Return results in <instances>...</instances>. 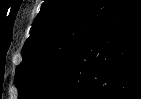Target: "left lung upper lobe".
<instances>
[{"label": "left lung upper lobe", "instance_id": "left-lung-upper-lobe-1", "mask_svg": "<svg viewBox=\"0 0 141 99\" xmlns=\"http://www.w3.org/2000/svg\"><path fill=\"white\" fill-rule=\"evenodd\" d=\"M121 0H45L16 68L18 99H37L66 71Z\"/></svg>", "mask_w": 141, "mask_h": 99}]
</instances>
